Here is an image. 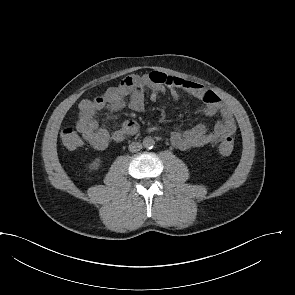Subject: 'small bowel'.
<instances>
[{"mask_svg": "<svg viewBox=\"0 0 295 295\" xmlns=\"http://www.w3.org/2000/svg\"><path fill=\"white\" fill-rule=\"evenodd\" d=\"M166 89L170 91L174 100H178L179 90H182L203 103L200 109L203 114L220 116L211 130L205 124L199 123L191 129L172 132L171 143L177 149L186 151L217 144L235 133L236 123L233 114L215 92L190 80L156 71L142 76H127L117 86L108 88L97 97L82 100L78 106L76 128L85 142L94 149L103 150L112 142H121L126 137L134 135L138 130V124L128 119L116 130L109 132L99 126L95 118L97 112L103 109L116 112L125 107L140 112L144 109L147 91H150V100L154 102Z\"/></svg>", "mask_w": 295, "mask_h": 295, "instance_id": "c3829d8e", "label": "small bowel"}]
</instances>
